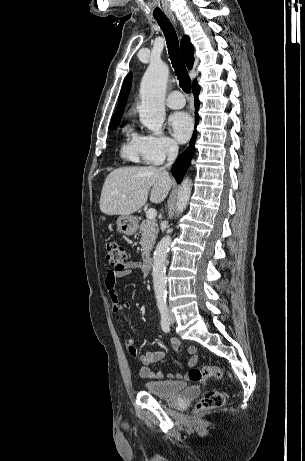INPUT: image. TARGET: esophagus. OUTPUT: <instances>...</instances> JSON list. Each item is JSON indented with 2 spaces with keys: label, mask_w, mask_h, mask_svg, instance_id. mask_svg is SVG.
Listing matches in <instances>:
<instances>
[{
  "label": "esophagus",
  "mask_w": 305,
  "mask_h": 461,
  "mask_svg": "<svg viewBox=\"0 0 305 461\" xmlns=\"http://www.w3.org/2000/svg\"><path fill=\"white\" fill-rule=\"evenodd\" d=\"M170 19L172 20V22H173L174 24H176V19H175L174 16H170Z\"/></svg>",
  "instance_id": "obj_1"
}]
</instances>
